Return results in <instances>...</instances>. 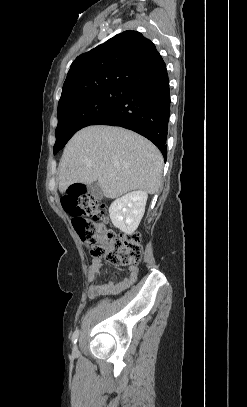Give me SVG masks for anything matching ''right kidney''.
I'll return each mask as SVG.
<instances>
[{
  "instance_id": "ca27d5eb",
  "label": "right kidney",
  "mask_w": 247,
  "mask_h": 407,
  "mask_svg": "<svg viewBox=\"0 0 247 407\" xmlns=\"http://www.w3.org/2000/svg\"><path fill=\"white\" fill-rule=\"evenodd\" d=\"M147 198L146 191L138 190L112 202L109 215L113 225L124 233H133L144 215Z\"/></svg>"
}]
</instances>
